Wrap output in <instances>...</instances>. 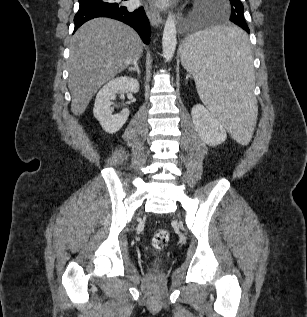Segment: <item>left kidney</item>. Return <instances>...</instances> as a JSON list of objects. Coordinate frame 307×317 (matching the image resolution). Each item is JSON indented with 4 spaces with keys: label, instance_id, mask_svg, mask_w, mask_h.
Here are the masks:
<instances>
[{
    "label": "left kidney",
    "instance_id": "left-kidney-1",
    "mask_svg": "<svg viewBox=\"0 0 307 317\" xmlns=\"http://www.w3.org/2000/svg\"><path fill=\"white\" fill-rule=\"evenodd\" d=\"M191 115L195 129L205 143L218 145L226 140L227 134L223 125L203 105H195Z\"/></svg>",
    "mask_w": 307,
    "mask_h": 317
}]
</instances>
